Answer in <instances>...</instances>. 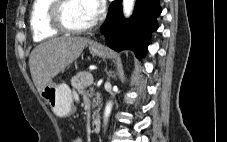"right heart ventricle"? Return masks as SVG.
Listing matches in <instances>:
<instances>
[{
  "label": "right heart ventricle",
  "mask_w": 227,
  "mask_h": 142,
  "mask_svg": "<svg viewBox=\"0 0 227 142\" xmlns=\"http://www.w3.org/2000/svg\"><path fill=\"white\" fill-rule=\"evenodd\" d=\"M54 0H34L30 11V28L34 41L40 42L60 34L49 23L48 10Z\"/></svg>",
  "instance_id": "right-heart-ventricle-1"
}]
</instances>
